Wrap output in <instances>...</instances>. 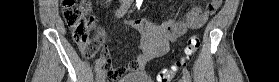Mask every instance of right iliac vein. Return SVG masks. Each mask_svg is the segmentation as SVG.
Here are the masks:
<instances>
[{"mask_svg":"<svg viewBox=\"0 0 279 82\" xmlns=\"http://www.w3.org/2000/svg\"><path fill=\"white\" fill-rule=\"evenodd\" d=\"M105 81V72L100 70L97 74V81L96 82H104Z\"/></svg>","mask_w":279,"mask_h":82,"instance_id":"1","label":"right iliac vein"}]
</instances>
